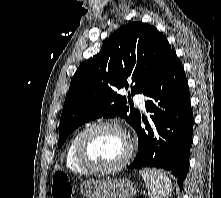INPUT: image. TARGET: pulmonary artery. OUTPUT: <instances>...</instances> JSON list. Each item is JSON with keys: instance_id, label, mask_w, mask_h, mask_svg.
<instances>
[{"instance_id": "obj_1", "label": "pulmonary artery", "mask_w": 221, "mask_h": 198, "mask_svg": "<svg viewBox=\"0 0 221 198\" xmlns=\"http://www.w3.org/2000/svg\"><path fill=\"white\" fill-rule=\"evenodd\" d=\"M134 101L142 108L144 109L145 107V98L141 94H136L134 95Z\"/></svg>"}]
</instances>
